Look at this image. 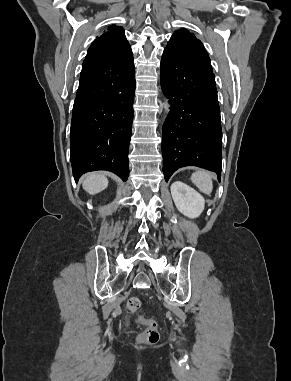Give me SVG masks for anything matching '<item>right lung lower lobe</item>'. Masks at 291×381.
Listing matches in <instances>:
<instances>
[{
    "instance_id": "right-lung-lower-lobe-1",
    "label": "right lung lower lobe",
    "mask_w": 291,
    "mask_h": 381,
    "mask_svg": "<svg viewBox=\"0 0 291 381\" xmlns=\"http://www.w3.org/2000/svg\"><path fill=\"white\" fill-rule=\"evenodd\" d=\"M134 94L132 51L84 60L70 131L75 181L94 170L111 171L127 180Z\"/></svg>"
}]
</instances>
